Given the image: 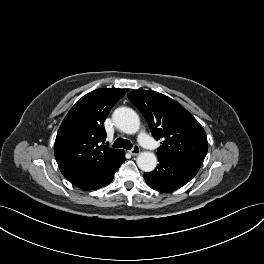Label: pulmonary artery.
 Masks as SVG:
<instances>
[{"label":"pulmonary artery","instance_id":"obj_1","mask_svg":"<svg viewBox=\"0 0 264 264\" xmlns=\"http://www.w3.org/2000/svg\"><path fill=\"white\" fill-rule=\"evenodd\" d=\"M139 141L145 148L149 150H153L156 148V144L154 140L149 135H147L145 132H142L140 134Z\"/></svg>","mask_w":264,"mask_h":264}]
</instances>
